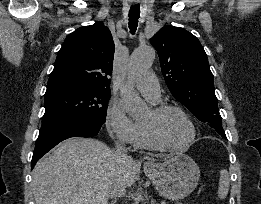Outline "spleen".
Masks as SVG:
<instances>
[{
	"instance_id": "spleen-1",
	"label": "spleen",
	"mask_w": 261,
	"mask_h": 204,
	"mask_svg": "<svg viewBox=\"0 0 261 204\" xmlns=\"http://www.w3.org/2000/svg\"><path fill=\"white\" fill-rule=\"evenodd\" d=\"M229 175L226 169H222L220 171V179H219V186H218V197L220 199H224L229 191Z\"/></svg>"
}]
</instances>
